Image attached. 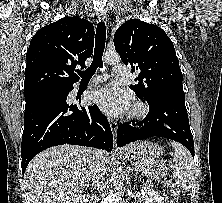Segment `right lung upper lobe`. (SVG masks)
<instances>
[{"label": "right lung upper lobe", "instance_id": "cb5924a9", "mask_svg": "<svg viewBox=\"0 0 222 203\" xmlns=\"http://www.w3.org/2000/svg\"><path fill=\"white\" fill-rule=\"evenodd\" d=\"M94 46V27L78 16L64 17L42 27L26 54L24 94H32L79 80L76 66L85 68Z\"/></svg>", "mask_w": 222, "mask_h": 203}]
</instances>
